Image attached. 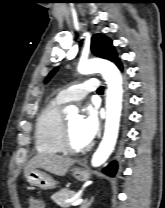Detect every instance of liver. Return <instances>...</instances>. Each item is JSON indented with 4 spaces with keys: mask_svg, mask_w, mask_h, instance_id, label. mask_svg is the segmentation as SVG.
I'll list each match as a JSON object with an SVG mask.
<instances>
[{
    "mask_svg": "<svg viewBox=\"0 0 165 208\" xmlns=\"http://www.w3.org/2000/svg\"><path fill=\"white\" fill-rule=\"evenodd\" d=\"M75 163L74 159L58 155L38 154L27 164L25 173L31 169L41 168L57 176H65L70 166Z\"/></svg>",
    "mask_w": 165,
    "mask_h": 208,
    "instance_id": "obj_1",
    "label": "liver"
}]
</instances>
